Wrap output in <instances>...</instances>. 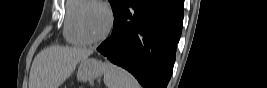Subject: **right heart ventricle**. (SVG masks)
<instances>
[{
  "label": "right heart ventricle",
  "mask_w": 267,
  "mask_h": 88,
  "mask_svg": "<svg viewBox=\"0 0 267 88\" xmlns=\"http://www.w3.org/2000/svg\"><path fill=\"white\" fill-rule=\"evenodd\" d=\"M90 1L91 0H70L66 3L63 34L66 41L72 45L82 46L87 44L78 31L77 16L80 10Z\"/></svg>",
  "instance_id": "e07e8e85"
}]
</instances>
